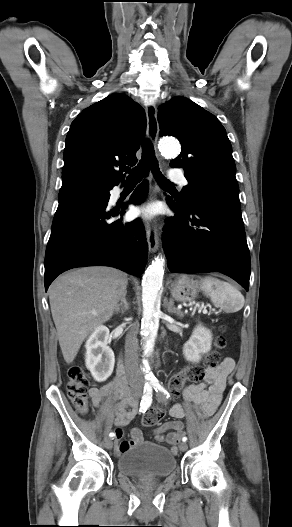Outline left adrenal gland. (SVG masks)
Wrapping results in <instances>:
<instances>
[{
  "label": "left adrenal gland",
  "mask_w": 292,
  "mask_h": 527,
  "mask_svg": "<svg viewBox=\"0 0 292 527\" xmlns=\"http://www.w3.org/2000/svg\"><path fill=\"white\" fill-rule=\"evenodd\" d=\"M166 308H167L168 313L176 314L179 317H183L184 316V314L180 310L175 308L173 299L169 300V302L166 305Z\"/></svg>",
  "instance_id": "a2214340"
}]
</instances>
